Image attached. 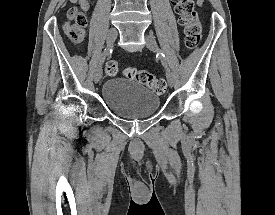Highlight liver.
I'll list each match as a JSON object with an SVG mask.
<instances>
[{
  "label": "liver",
  "mask_w": 275,
  "mask_h": 215,
  "mask_svg": "<svg viewBox=\"0 0 275 215\" xmlns=\"http://www.w3.org/2000/svg\"><path fill=\"white\" fill-rule=\"evenodd\" d=\"M77 0H71V2H76Z\"/></svg>",
  "instance_id": "liver-1"
}]
</instances>
